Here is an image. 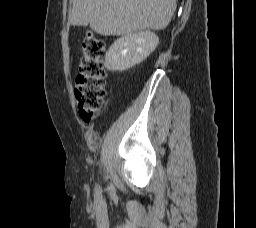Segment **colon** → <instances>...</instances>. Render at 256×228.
Masks as SVG:
<instances>
[{
    "label": "colon",
    "mask_w": 256,
    "mask_h": 228,
    "mask_svg": "<svg viewBox=\"0 0 256 228\" xmlns=\"http://www.w3.org/2000/svg\"><path fill=\"white\" fill-rule=\"evenodd\" d=\"M104 54L103 40L94 33L87 32L82 41V57L74 88L79 115L86 122L98 116L104 107Z\"/></svg>",
    "instance_id": "5ec220e1"
}]
</instances>
